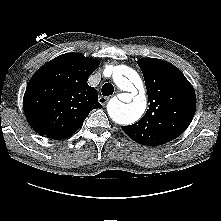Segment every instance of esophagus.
I'll return each instance as SVG.
<instances>
[{
    "label": "esophagus",
    "instance_id": "1",
    "mask_svg": "<svg viewBox=\"0 0 221 221\" xmlns=\"http://www.w3.org/2000/svg\"><path fill=\"white\" fill-rule=\"evenodd\" d=\"M109 100V97H105V96H100L99 97V102L101 103V105H105L107 103V101Z\"/></svg>",
    "mask_w": 221,
    "mask_h": 221
}]
</instances>
